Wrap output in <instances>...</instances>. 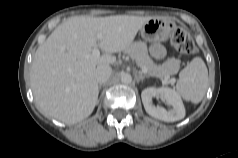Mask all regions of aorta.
<instances>
[{
  "mask_svg": "<svg viewBox=\"0 0 238 158\" xmlns=\"http://www.w3.org/2000/svg\"><path fill=\"white\" fill-rule=\"evenodd\" d=\"M121 81L124 84H130L132 82V76L129 73H123L121 75Z\"/></svg>",
  "mask_w": 238,
  "mask_h": 158,
  "instance_id": "obj_1",
  "label": "aorta"
}]
</instances>
